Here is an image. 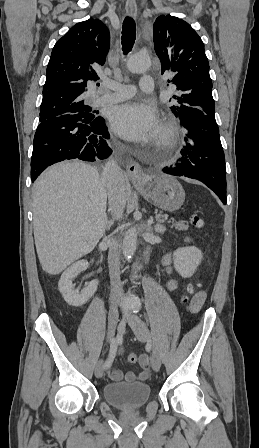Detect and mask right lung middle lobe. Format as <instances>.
<instances>
[{
	"label": "right lung middle lobe",
	"mask_w": 259,
	"mask_h": 448,
	"mask_svg": "<svg viewBox=\"0 0 259 448\" xmlns=\"http://www.w3.org/2000/svg\"><path fill=\"white\" fill-rule=\"evenodd\" d=\"M94 113L95 111L92 112L91 108L88 105H74L60 111L40 114L39 121L44 122L48 119L59 117L62 115H74L83 122L89 123L96 120L99 117V116L97 117Z\"/></svg>",
	"instance_id": "dd1d6c3e"
}]
</instances>
